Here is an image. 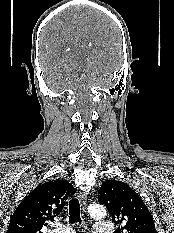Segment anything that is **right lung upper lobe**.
<instances>
[{
  "mask_svg": "<svg viewBox=\"0 0 174 233\" xmlns=\"http://www.w3.org/2000/svg\"><path fill=\"white\" fill-rule=\"evenodd\" d=\"M73 194L72 184L65 180L37 186L16 208L7 233H42V227L61 213L66 199Z\"/></svg>",
  "mask_w": 174,
  "mask_h": 233,
  "instance_id": "cb5924a9",
  "label": "right lung upper lobe"
}]
</instances>
